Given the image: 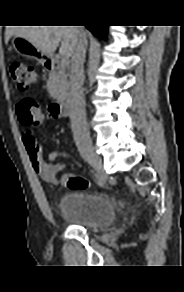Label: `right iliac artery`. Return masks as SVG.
Here are the masks:
<instances>
[{
	"label": "right iliac artery",
	"instance_id": "82829eb1",
	"mask_svg": "<svg viewBox=\"0 0 184 292\" xmlns=\"http://www.w3.org/2000/svg\"><path fill=\"white\" fill-rule=\"evenodd\" d=\"M95 177L97 178V180L101 183L103 182L102 177L99 174H95Z\"/></svg>",
	"mask_w": 184,
	"mask_h": 292
}]
</instances>
